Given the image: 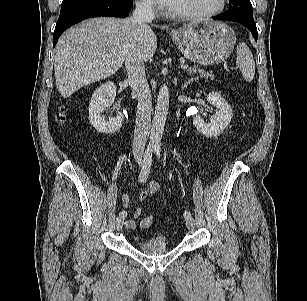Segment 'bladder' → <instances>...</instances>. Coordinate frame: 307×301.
Instances as JSON below:
<instances>
[{
    "label": "bladder",
    "instance_id": "obj_1",
    "mask_svg": "<svg viewBox=\"0 0 307 301\" xmlns=\"http://www.w3.org/2000/svg\"><path fill=\"white\" fill-rule=\"evenodd\" d=\"M138 249L147 255H158L166 252L169 244L165 235H158L140 242Z\"/></svg>",
    "mask_w": 307,
    "mask_h": 301
}]
</instances>
